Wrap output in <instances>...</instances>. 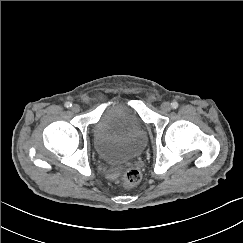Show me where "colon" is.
<instances>
[{
	"instance_id": "1",
	"label": "colon",
	"mask_w": 243,
	"mask_h": 243,
	"mask_svg": "<svg viewBox=\"0 0 243 243\" xmlns=\"http://www.w3.org/2000/svg\"><path fill=\"white\" fill-rule=\"evenodd\" d=\"M141 180V173L136 168H127L122 173L123 185L127 188L136 186Z\"/></svg>"
}]
</instances>
